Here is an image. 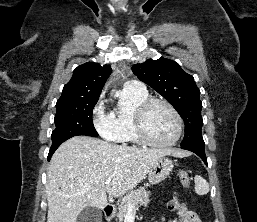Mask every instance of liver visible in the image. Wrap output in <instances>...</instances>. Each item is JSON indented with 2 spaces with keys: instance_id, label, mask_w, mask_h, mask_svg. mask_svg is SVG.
<instances>
[{
  "instance_id": "obj_1",
  "label": "liver",
  "mask_w": 257,
  "mask_h": 222,
  "mask_svg": "<svg viewBox=\"0 0 257 222\" xmlns=\"http://www.w3.org/2000/svg\"><path fill=\"white\" fill-rule=\"evenodd\" d=\"M172 149H140L75 136L53 154L47 174V222H77L87 206L103 209L107 194L120 197L135 188L161 157H182ZM111 178L109 184L105 183Z\"/></svg>"
}]
</instances>
